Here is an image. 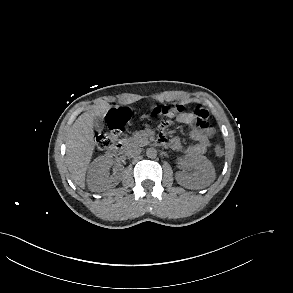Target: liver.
<instances>
[{
  "label": "liver",
  "instance_id": "6515ba94",
  "mask_svg": "<svg viewBox=\"0 0 293 293\" xmlns=\"http://www.w3.org/2000/svg\"><path fill=\"white\" fill-rule=\"evenodd\" d=\"M96 114L97 110L95 109L81 114L68 133L67 167L71 179L81 188L85 187V175L94 150L93 118Z\"/></svg>",
  "mask_w": 293,
  "mask_h": 293
}]
</instances>
